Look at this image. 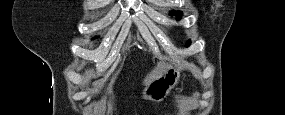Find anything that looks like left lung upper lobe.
<instances>
[{
	"instance_id": "obj_1",
	"label": "left lung upper lobe",
	"mask_w": 285,
	"mask_h": 115,
	"mask_svg": "<svg viewBox=\"0 0 285 115\" xmlns=\"http://www.w3.org/2000/svg\"><path fill=\"white\" fill-rule=\"evenodd\" d=\"M175 14H177V17L180 18V16H181L182 13L179 12V11H178V12H176V11L170 12V15H171V16H173V15H175ZM189 44H190V41H188V42L186 43V46H189Z\"/></svg>"
}]
</instances>
